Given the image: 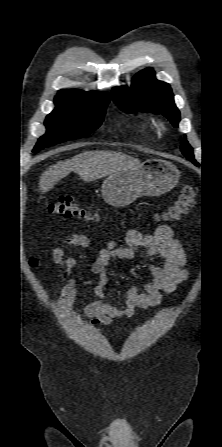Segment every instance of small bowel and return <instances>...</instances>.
I'll list each match as a JSON object with an SVG mask.
<instances>
[{
  "label": "small bowel",
  "mask_w": 222,
  "mask_h": 447,
  "mask_svg": "<svg viewBox=\"0 0 222 447\" xmlns=\"http://www.w3.org/2000/svg\"><path fill=\"white\" fill-rule=\"evenodd\" d=\"M127 245H117L109 241L106 247L99 251L98 256L90 265L91 271L98 276L97 282L85 281L79 283L72 275L76 267L83 264L74 258H66L64 250L56 246L52 250V260L62 267L61 280L66 282L58 304L65 311H69L76 295L82 287L91 286L95 299L81 312L74 315L75 318L90 319L93 326L110 325L116 318H131L137 308H150L158 305L163 293H172L177 286L185 281L188 272L185 269L186 255L174 238L173 230L167 225L158 226L152 233H143L139 230H129L126 234ZM68 245L82 248L90 247V239L82 234H70L65 238ZM143 248L150 260L148 273L151 281L144 285V292L136 286H131L126 292L124 308L119 309L105 302V285L108 282L107 268L113 260L132 259L136 255V249ZM157 257L164 261L163 265L155 262Z\"/></svg>",
  "instance_id": "1"
}]
</instances>
